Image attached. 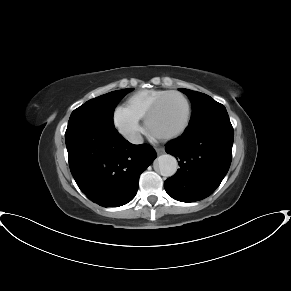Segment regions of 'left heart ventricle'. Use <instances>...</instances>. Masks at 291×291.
I'll use <instances>...</instances> for the list:
<instances>
[{
    "label": "left heart ventricle",
    "mask_w": 291,
    "mask_h": 291,
    "mask_svg": "<svg viewBox=\"0 0 291 291\" xmlns=\"http://www.w3.org/2000/svg\"><path fill=\"white\" fill-rule=\"evenodd\" d=\"M187 108L183 98L168 97L151 121V131L156 135H166L178 130L185 122Z\"/></svg>",
    "instance_id": "left-heart-ventricle-1"
}]
</instances>
